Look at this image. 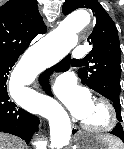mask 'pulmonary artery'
I'll list each match as a JSON object with an SVG mask.
<instances>
[{
  "mask_svg": "<svg viewBox=\"0 0 124 149\" xmlns=\"http://www.w3.org/2000/svg\"><path fill=\"white\" fill-rule=\"evenodd\" d=\"M85 46L83 44H79L73 51L72 55L75 59H82L85 56Z\"/></svg>",
  "mask_w": 124,
  "mask_h": 149,
  "instance_id": "obj_1",
  "label": "pulmonary artery"
}]
</instances>
